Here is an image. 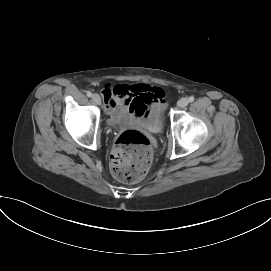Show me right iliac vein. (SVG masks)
<instances>
[{"label": "right iliac vein", "mask_w": 271, "mask_h": 271, "mask_svg": "<svg viewBox=\"0 0 271 271\" xmlns=\"http://www.w3.org/2000/svg\"><path fill=\"white\" fill-rule=\"evenodd\" d=\"M92 100L94 101V103H96V104H100L101 103V98H100V96L98 95V94H93L92 95Z\"/></svg>", "instance_id": "obj_1"}]
</instances>
